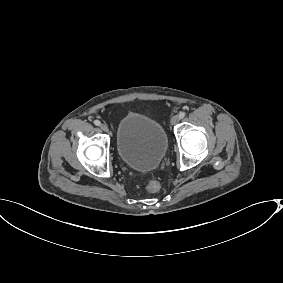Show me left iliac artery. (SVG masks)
<instances>
[{
    "instance_id": "left-iliac-artery-1",
    "label": "left iliac artery",
    "mask_w": 283,
    "mask_h": 283,
    "mask_svg": "<svg viewBox=\"0 0 283 283\" xmlns=\"http://www.w3.org/2000/svg\"><path fill=\"white\" fill-rule=\"evenodd\" d=\"M184 117H185V112H184V111H181V112L179 113V118L182 119V118H184Z\"/></svg>"
}]
</instances>
